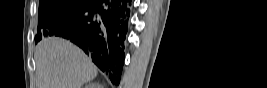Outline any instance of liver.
<instances>
[{
  "label": "liver",
  "mask_w": 267,
  "mask_h": 88,
  "mask_svg": "<svg viewBox=\"0 0 267 88\" xmlns=\"http://www.w3.org/2000/svg\"><path fill=\"white\" fill-rule=\"evenodd\" d=\"M38 88H81L97 76L84 52L59 37L41 40L34 52Z\"/></svg>",
  "instance_id": "6515ba94"
}]
</instances>
